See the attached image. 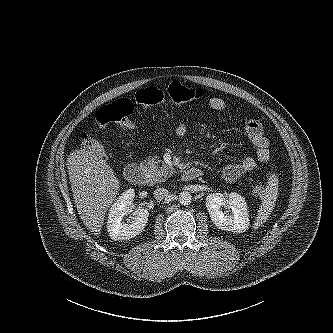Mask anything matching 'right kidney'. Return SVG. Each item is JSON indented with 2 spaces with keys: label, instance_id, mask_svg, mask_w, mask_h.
<instances>
[{
  "label": "right kidney",
  "instance_id": "obj_1",
  "mask_svg": "<svg viewBox=\"0 0 333 333\" xmlns=\"http://www.w3.org/2000/svg\"><path fill=\"white\" fill-rule=\"evenodd\" d=\"M134 197V189L126 190L117 198L109 210L107 231L114 241L134 238L144 230L147 224L149 212L142 207L134 211V220L131 224L123 222L124 216L133 211L132 202Z\"/></svg>",
  "mask_w": 333,
  "mask_h": 333
}]
</instances>
